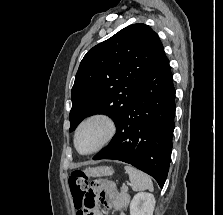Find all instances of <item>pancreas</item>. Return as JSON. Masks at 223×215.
<instances>
[{
  "mask_svg": "<svg viewBox=\"0 0 223 215\" xmlns=\"http://www.w3.org/2000/svg\"><path fill=\"white\" fill-rule=\"evenodd\" d=\"M128 187H120V191H127Z\"/></svg>",
  "mask_w": 223,
  "mask_h": 215,
  "instance_id": "cf45deb5",
  "label": "pancreas"
}]
</instances>
